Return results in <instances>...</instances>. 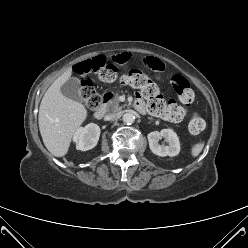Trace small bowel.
Here are the masks:
<instances>
[{
  "mask_svg": "<svg viewBox=\"0 0 248 248\" xmlns=\"http://www.w3.org/2000/svg\"><path fill=\"white\" fill-rule=\"evenodd\" d=\"M112 61L117 63V64L127 63L129 61V54H127V53L117 54L112 58ZM146 65H147V67H149L150 69L155 70V71H161L163 69V64L161 63V61L154 59V58L147 59ZM136 102H139L141 104V108L138 110H140L141 112H144L145 106H144L143 101L140 98H138L136 100ZM180 120H181V118L176 119V120H172V121L178 122Z\"/></svg>",
  "mask_w": 248,
  "mask_h": 248,
  "instance_id": "1",
  "label": "small bowel"
}]
</instances>
